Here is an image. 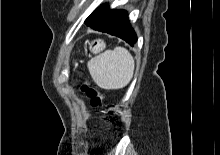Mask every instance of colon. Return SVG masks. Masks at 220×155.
I'll use <instances>...</instances> for the list:
<instances>
[{
    "label": "colon",
    "instance_id": "5ec220e1",
    "mask_svg": "<svg viewBox=\"0 0 220 155\" xmlns=\"http://www.w3.org/2000/svg\"><path fill=\"white\" fill-rule=\"evenodd\" d=\"M81 90L86 93L93 107L103 106V96L99 89L92 86L89 82L85 81L80 86Z\"/></svg>",
    "mask_w": 220,
    "mask_h": 155
}]
</instances>
